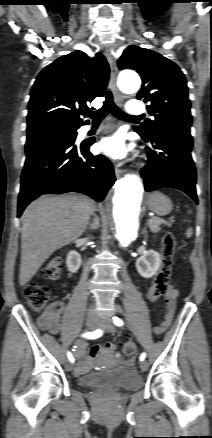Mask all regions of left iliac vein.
<instances>
[{
	"instance_id": "4c4485c4",
	"label": "left iliac vein",
	"mask_w": 212,
	"mask_h": 438,
	"mask_svg": "<svg viewBox=\"0 0 212 438\" xmlns=\"http://www.w3.org/2000/svg\"><path fill=\"white\" fill-rule=\"evenodd\" d=\"M98 327L105 330L108 333H115V327L112 324L111 320L108 318L99 320ZM140 369L142 372H145L148 369V363L146 361H142L140 363Z\"/></svg>"
}]
</instances>
